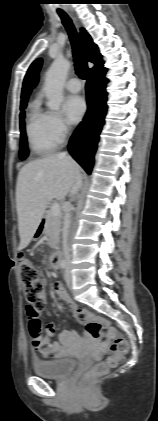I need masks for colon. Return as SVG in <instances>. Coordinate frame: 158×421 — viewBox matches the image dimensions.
<instances>
[{
	"label": "colon",
	"instance_id": "colon-1",
	"mask_svg": "<svg viewBox=\"0 0 158 421\" xmlns=\"http://www.w3.org/2000/svg\"><path fill=\"white\" fill-rule=\"evenodd\" d=\"M19 269L21 281L24 286V292L28 303L32 319L39 323L37 318L38 311L45 305L44 288L45 281L41 278L37 269L23 253L19 254ZM82 324L85 325L87 335L92 339H106L110 341L111 355L104 362L97 363L84 376V382L92 383L98 377L102 376L108 368L118 364L120 359L128 352L129 343L126 338L112 329L106 320L93 315L82 314L79 316Z\"/></svg>",
	"mask_w": 158,
	"mask_h": 421
}]
</instances>
